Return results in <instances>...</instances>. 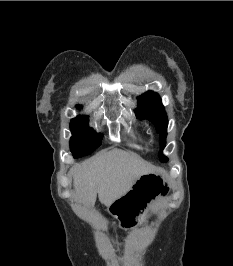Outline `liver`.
<instances>
[{"instance_id": "obj_1", "label": "liver", "mask_w": 233, "mask_h": 266, "mask_svg": "<svg viewBox=\"0 0 233 266\" xmlns=\"http://www.w3.org/2000/svg\"><path fill=\"white\" fill-rule=\"evenodd\" d=\"M154 168L139 156L115 149L75 165V198L93 207L98 198L105 206L112 205L131 190L137 179Z\"/></svg>"}]
</instances>
